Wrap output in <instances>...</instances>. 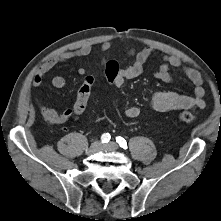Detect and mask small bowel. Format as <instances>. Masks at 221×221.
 Masks as SVG:
<instances>
[{"mask_svg": "<svg viewBox=\"0 0 221 221\" xmlns=\"http://www.w3.org/2000/svg\"><path fill=\"white\" fill-rule=\"evenodd\" d=\"M111 48L112 43L110 41H105L101 44L102 52H108ZM91 51L92 47L90 45H84L76 50L62 52L48 59L37 69L32 82L33 86L36 88L40 87L45 75L57 64L72 58L85 57L89 55ZM154 52L155 49L152 47L130 50L128 55L134 58V62L131 65L119 67L118 77L112 84L117 87H122L127 80L140 76L144 71L145 63ZM107 60L108 59H104L103 63L105 64ZM171 68L181 69L184 72L188 79L194 84V93L193 95H186L176 91H155L150 101L151 108L157 112L203 108L205 106V89L202 86L203 79L201 74L193 68L184 67L178 57L165 56L162 65L155 72V77L164 82H171L173 80L170 73ZM78 72L84 78L88 75V71L85 68H80ZM51 84L55 88H63L66 85V80L62 76H55L52 78ZM37 105L43 118L53 125L63 124L75 115L74 107L68 108L62 113H58L53 108L43 105L39 101H37ZM125 115L131 119L137 118L140 115V109L136 106H129L125 109Z\"/></svg>", "mask_w": 221, "mask_h": 221, "instance_id": "obj_1", "label": "small bowel"}]
</instances>
